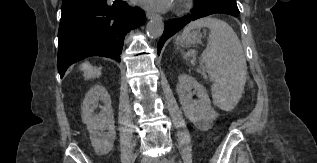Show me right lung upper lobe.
Wrapping results in <instances>:
<instances>
[{"instance_id":"1","label":"right lung upper lobe","mask_w":317,"mask_h":163,"mask_svg":"<svg viewBox=\"0 0 317 163\" xmlns=\"http://www.w3.org/2000/svg\"><path fill=\"white\" fill-rule=\"evenodd\" d=\"M69 1H72V0H63V3H66V2H69Z\"/></svg>"}]
</instances>
